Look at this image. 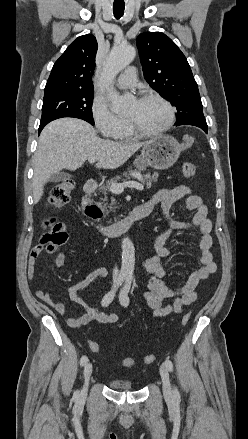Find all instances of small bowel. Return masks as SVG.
<instances>
[{
    "mask_svg": "<svg viewBox=\"0 0 248 439\" xmlns=\"http://www.w3.org/2000/svg\"><path fill=\"white\" fill-rule=\"evenodd\" d=\"M181 199L184 200L188 210L194 211L192 219L188 222L175 221L170 216L172 206ZM157 204L161 205L168 228L156 237L154 242L156 253L154 256L142 261L141 267L150 276L149 290L143 294V298L153 315L162 317L171 313H182L187 306L195 302L200 283L216 272L217 265L211 253L213 243L211 236L212 223L208 218V209L203 204L202 199L194 194L188 186L177 185L157 191L143 206L151 212ZM189 229H197L199 231L200 241L197 254L201 265L190 274L189 278L180 287L173 289L164 280L166 271L162 266V259L170 255V251L165 247V243L173 232ZM40 253L41 250L37 247L30 253L27 268L30 280L35 276V265ZM65 259L66 253L64 251L59 252L55 259L56 267H63ZM106 275L107 271L104 268H98L69 289L71 300L84 309L82 315L67 319V324L70 327L79 328L92 322L113 324L118 321L116 314L99 311L95 306L88 304L83 297V293L88 287L94 282L103 279ZM35 294L58 314L64 315V304L60 300L54 299L49 292L38 288L35 290ZM164 299H171V302L162 306Z\"/></svg>",
    "mask_w": 248,
    "mask_h": 439,
    "instance_id": "obj_1",
    "label": "small bowel"
}]
</instances>
